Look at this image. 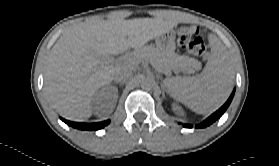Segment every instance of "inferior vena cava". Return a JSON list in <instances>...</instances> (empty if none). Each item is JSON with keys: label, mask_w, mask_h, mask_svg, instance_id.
Segmentation results:
<instances>
[{"label": "inferior vena cava", "mask_w": 279, "mask_h": 166, "mask_svg": "<svg viewBox=\"0 0 279 166\" xmlns=\"http://www.w3.org/2000/svg\"><path fill=\"white\" fill-rule=\"evenodd\" d=\"M133 75L132 69L127 66L120 68L114 75V80L116 82H124L128 80Z\"/></svg>", "instance_id": "602c4592"}]
</instances>
